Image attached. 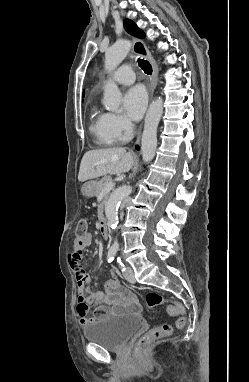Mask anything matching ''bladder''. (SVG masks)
<instances>
[{
  "label": "bladder",
  "mask_w": 249,
  "mask_h": 382,
  "mask_svg": "<svg viewBox=\"0 0 249 382\" xmlns=\"http://www.w3.org/2000/svg\"><path fill=\"white\" fill-rule=\"evenodd\" d=\"M143 326L142 318L120 315L96 321L83 330L86 341L100 345L106 350H121L128 340Z\"/></svg>",
  "instance_id": "31cf9c89"
}]
</instances>
